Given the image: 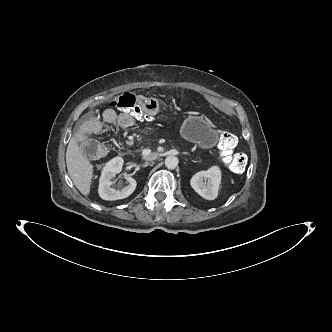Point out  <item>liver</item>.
I'll list each match as a JSON object with an SVG mask.
<instances>
[{"mask_svg":"<svg viewBox=\"0 0 332 332\" xmlns=\"http://www.w3.org/2000/svg\"><path fill=\"white\" fill-rule=\"evenodd\" d=\"M66 165L76 188L83 194L90 193L93 165L86 159L75 137H72L66 151Z\"/></svg>","mask_w":332,"mask_h":332,"instance_id":"1","label":"liver"}]
</instances>
